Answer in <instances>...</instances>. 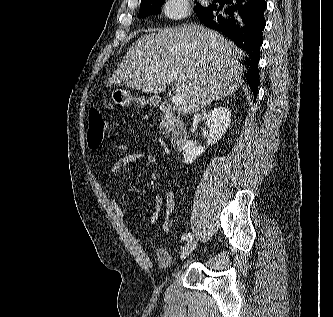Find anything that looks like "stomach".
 <instances>
[{"label":"stomach","instance_id":"stomach-1","mask_svg":"<svg viewBox=\"0 0 333 317\" xmlns=\"http://www.w3.org/2000/svg\"><path fill=\"white\" fill-rule=\"evenodd\" d=\"M111 100L115 105L129 106L132 102L140 103L145 105L147 103H154V99L146 100L145 98H136L131 95L129 91L121 88H116L111 93Z\"/></svg>","mask_w":333,"mask_h":317}]
</instances>
